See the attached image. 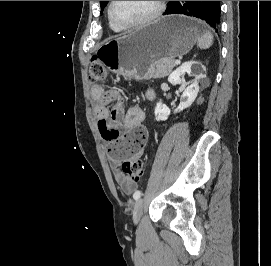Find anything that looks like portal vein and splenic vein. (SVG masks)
Returning <instances> with one entry per match:
<instances>
[{"label":"portal vein and splenic vein","mask_w":271,"mask_h":266,"mask_svg":"<svg viewBox=\"0 0 271 266\" xmlns=\"http://www.w3.org/2000/svg\"><path fill=\"white\" fill-rule=\"evenodd\" d=\"M180 63H181L180 60H176V61H175V64H176V65H179Z\"/></svg>","instance_id":"1"}]
</instances>
